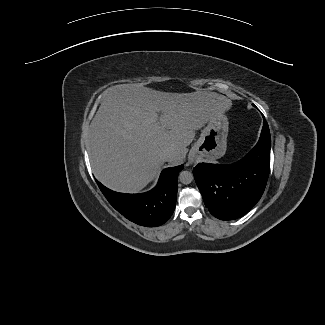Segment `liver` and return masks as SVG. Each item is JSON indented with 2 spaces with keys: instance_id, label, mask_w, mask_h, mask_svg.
<instances>
[{
  "instance_id": "1",
  "label": "liver",
  "mask_w": 325,
  "mask_h": 325,
  "mask_svg": "<svg viewBox=\"0 0 325 325\" xmlns=\"http://www.w3.org/2000/svg\"><path fill=\"white\" fill-rule=\"evenodd\" d=\"M232 101L216 92L170 93L139 84L113 86L90 124L88 153L96 178L125 193L143 189L161 164L185 159L195 130L230 109ZM162 109V115L157 114Z\"/></svg>"
}]
</instances>
